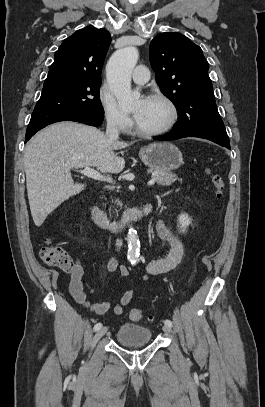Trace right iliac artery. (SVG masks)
Listing matches in <instances>:
<instances>
[{"mask_svg": "<svg viewBox=\"0 0 265 407\" xmlns=\"http://www.w3.org/2000/svg\"><path fill=\"white\" fill-rule=\"evenodd\" d=\"M101 327H102V324H101V323H97V324L94 326V330L97 331V330H99Z\"/></svg>", "mask_w": 265, "mask_h": 407, "instance_id": "right-iliac-artery-1", "label": "right iliac artery"}]
</instances>
